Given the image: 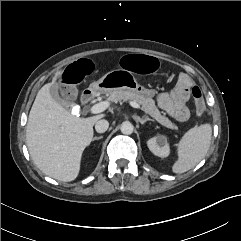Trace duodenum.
Here are the masks:
<instances>
[{"label": "duodenum", "instance_id": "obj_1", "mask_svg": "<svg viewBox=\"0 0 241 241\" xmlns=\"http://www.w3.org/2000/svg\"><path fill=\"white\" fill-rule=\"evenodd\" d=\"M97 92V89H86L84 90V92L82 93V102L84 104H88L89 102H91L95 96V93Z\"/></svg>", "mask_w": 241, "mask_h": 241}]
</instances>
